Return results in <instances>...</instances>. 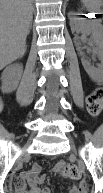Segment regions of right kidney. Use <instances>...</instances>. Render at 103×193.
<instances>
[{
  "mask_svg": "<svg viewBox=\"0 0 103 193\" xmlns=\"http://www.w3.org/2000/svg\"><path fill=\"white\" fill-rule=\"evenodd\" d=\"M22 70L23 66L16 64L7 67L3 71L1 76L2 79L1 89L4 93L12 92L17 88Z\"/></svg>",
  "mask_w": 103,
  "mask_h": 193,
  "instance_id": "1",
  "label": "right kidney"
}]
</instances>
